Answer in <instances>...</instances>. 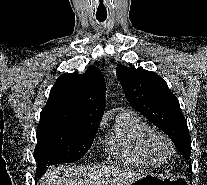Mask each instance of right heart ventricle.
I'll return each mask as SVG.
<instances>
[{
  "label": "right heart ventricle",
  "instance_id": "1",
  "mask_svg": "<svg viewBox=\"0 0 207 185\" xmlns=\"http://www.w3.org/2000/svg\"><path fill=\"white\" fill-rule=\"evenodd\" d=\"M152 128L140 117L121 113L108 141L109 151L120 159L136 165L153 166L160 162L148 145Z\"/></svg>",
  "mask_w": 207,
  "mask_h": 185
}]
</instances>
